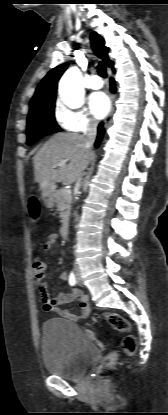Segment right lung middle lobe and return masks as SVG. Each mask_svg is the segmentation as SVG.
Returning <instances> with one entry per match:
<instances>
[{
  "instance_id": "1",
  "label": "right lung middle lobe",
  "mask_w": 168,
  "mask_h": 415,
  "mask_svg": "<svg viewBox=\"0 0 168 415\" xmlns=\"http://www.w3.org/2000/svg\"><path fill=\"white\" fill-rule=\"evenodd\" d=\"M54 103L29 112L27 119V145L33 144L43 136L62 130L55 121Z\"/></svg>"
}]
</instances>
